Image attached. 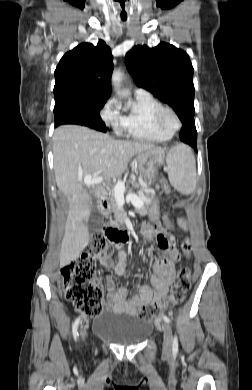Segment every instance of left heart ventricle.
<instances>
[{
    "instance_id": "b2bd125f",
    "label": "left heart ventricle",
    "mask_w": 252,
    "mask_h": 390,
    "mask_svg": "<svg viewBox=\"0 0 252 390\" xmlns=\"http://www.w3.org/2000/svg\"><path fill=\"white\" fill-rule=\"evenodd\" d=\"M165 124L167 127L172 128L175 126V119L171 115H166Z\"/></svg>"
}]
</instances>
